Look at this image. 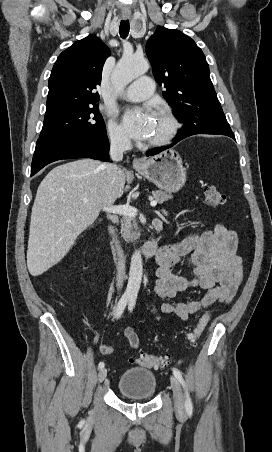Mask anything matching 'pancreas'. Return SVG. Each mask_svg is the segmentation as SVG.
Wrapping results in <instances>:
<instances>
[{"label": "pancreas", "mask_w": 272, "mask_h": 452, "mask_svg": "<svg viewBox=\"0 0 272 452\" xmlns=\"http://www.w3.org/2000/svg\"><path fill=\"white\" fill-rule=\"evenodd\" d=\"M152 196L158 204H162L165 201L173 198L170 193L160 190L152 191ZM121 226L123 231V238L126 241L134 242L140 237V231L137 225V221L134 217L124 216L121 220Z\"/></svg>", "instance_id": "1"}]
</instances>
